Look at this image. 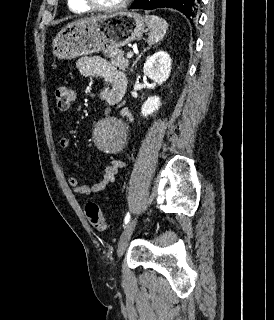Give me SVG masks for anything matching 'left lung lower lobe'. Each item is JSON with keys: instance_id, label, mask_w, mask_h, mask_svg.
Listing matches in <instances>:
<instances>
[{"instance_id": "left-lung-lower-lobe-1", "label": "left lung lower lobe", "mask_w": 274, "mask_h": 320, "mask_svg": "<svg viewBox=\"0 0 274 320\" xmlns=\"http://www.w3.org/2000/svg\"><path fill=\"white\" fill-rule=\"evenodd\" d=\"M199 4L200 0H136L131 9L171 8L183 13L193 23L197 17Z\"/></svg>"}]
</instances>
